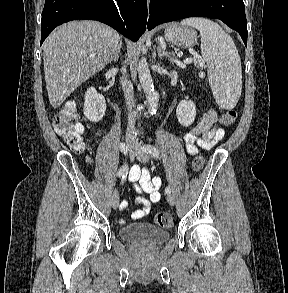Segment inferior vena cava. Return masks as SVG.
<instances>
[{"label": "inferior vena cava", "mask_w": 288, "mask_h": 293, "mask_svg": "<svg viewBox=\"0 0 288 293\" xmlns=\"http://www.w3.org/2000/svg\"><path fill=\"white\" fill-rule=\"evenodd\" d=\"M121 87L122 90L124 92V96L127 102V106H128V111H129V115H128V126H127V136L132 140V141H136L135 138L132 135V130L134 129L135 126V118H136V114L133 111V107H134V100H133V85L126 79V78H122L121 80Z\"/></svg>", "instance_id": "602c4592"}]
</instances>
